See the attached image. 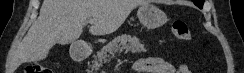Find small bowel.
<instances>
[{"instance_id":"c3829d8e","label":"small bowel","mask_w":244,"mask_h":73,"mask_svg":"<svg viewBox=\"0 0 244 73\" xmlns=\"http://www.w3.org/2000/svg\"><path fill=\"white\" fill-rule=\"evenodd\" d=\"M133 68L136 73H190L186 64L175 67L164 59L157 57L139 59L134 63Z\"/></svg>"}]
</instances>
